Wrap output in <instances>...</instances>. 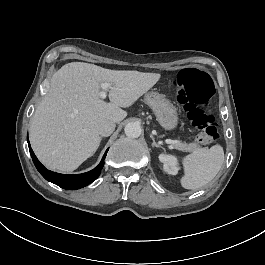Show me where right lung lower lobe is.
<instances>
[{"label": "right lung lower lobe", "mask_w": 265, "mask_h": 265, "mask_svg": "<svg viewBox=\"0 0 265 265\" xmlns=\"http://www.w3.org/2000/svg\"><path fill=\"white\" fill-rule=\"evenodd\" d=\"M28 146H29L30 154L32 156V160H33L37 170L40 172V174L46 180L60 186L61 188L67 189V190L79 189V188H82V187L92 183L100 175L101 169L104 166V159H105V156H106L107 151H108V149H107L101 162L93 170H91L87 173L78 174V175H64V174H59V173H55V172L47 170L36 158L34 152L31 149L29 140H28Z\"/></svg>", "instance_id": "obj_1"}]
</instances>
